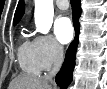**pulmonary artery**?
<instances>
[{"instance_id":"pulmonary-artery-1","label":"pulmonary artery","mask_w":107,"mask_h":89,"mask_svg":"<svg viewBox=\"0 0 107 89\" xmlns=\"http://www.w3.org/2000/svg\"><path fill=\"white\" fill-rule=\"evenodd\" d=\"M56 6L61 10H66L68 8L67 0H56Z\"/></svg>"}]
</instances>
